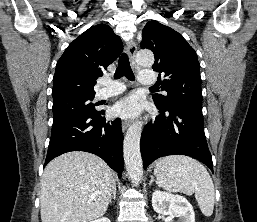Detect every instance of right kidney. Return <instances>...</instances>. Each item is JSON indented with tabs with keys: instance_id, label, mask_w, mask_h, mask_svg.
I'll use <instances>...</instances> for the list:
<instances>
[{
	"instance_id": "ca27d5eb",
	"label": "right kidney",
	"mask_w": 257,
	"mask_h": 222,
	"mask_svg": "<svg viewBox=\"0 0 257 222\" xmlns=\"http://www.w3.org/2000/svg\"><path fill=\"white\" fill-rule=\"evenodd\" d=\"M91 222H110V220L106 217H102L100 219H96V220L91 221Z\"/></svg>"
}]
</instances>
